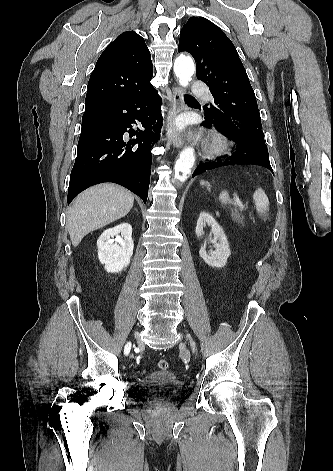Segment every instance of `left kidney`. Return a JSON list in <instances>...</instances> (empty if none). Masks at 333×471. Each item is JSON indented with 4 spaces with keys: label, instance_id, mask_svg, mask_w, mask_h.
Wrapping results in <instances>:
<instances>
[{
    "label": "left kidney",
    "instance_id": "1",
    "mask_svg": "<svg viewBox=\"0 0 333 471\" xmlns=\"http://www.w3.org/2000/svg\"><path fill=\"white\" fill-rule=\"evenodd\" d=\"M206 224L211 226V231L214 235L211 242L214 243L215 250H211L209 253H207L206 247L201 246L199 255L209 266L222 268L226 265L227 259L230 256L227 237L222 227L207 212H201L199 215L195 230L198 237L203 235V229Z\"/></svg>",
    "mask_w": 333,
    "mask_h": 471
}]
</instances>
